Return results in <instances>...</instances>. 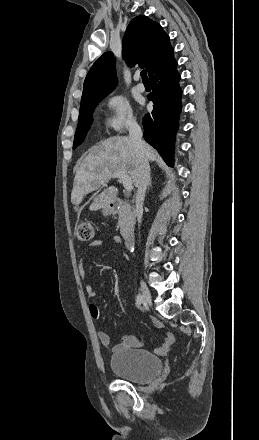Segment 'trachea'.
Masks as SVG:
<instances>
[{
    "label": "trachea",
    "mask_w": 259,
    "mask_h": 440,
    "mask_svg": "<svg viewBox=\"0 0 259 440\" xmlns=\"http://www.w3.org/2000/svg\"><path fill=\"white\" fill-rule=\"evenodd\" d=\"M141 77H142V81H149L148 76H147V70H142L140 73Z\"/></svg>",
    "instance_id": "obj_1"
}]
</instances>
